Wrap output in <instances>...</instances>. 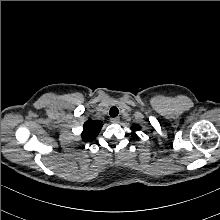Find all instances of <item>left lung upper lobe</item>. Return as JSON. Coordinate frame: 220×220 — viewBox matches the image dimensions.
I'll return each instance as SVG.
<instances>
[{
  "label": "left lung upper lobe",
  "mask_w": 220,
  "mask_h": 220,
  "mask_svg": "<svg viewBox=\"0 0 220 220\" xmlns=\"http://www.w3.org/2000/svg\"><path fill=\"white\" fill-rule=\"evenodd\" d=\"M131 129L133 131H139L141 129V127L138 124H134V125H132ZM132 135L134 138H138L137 135L135 134V132H133Z\"/></svg>",
  "instance_id": "left-lung-upper-lobe-1"
}]
</instances>
